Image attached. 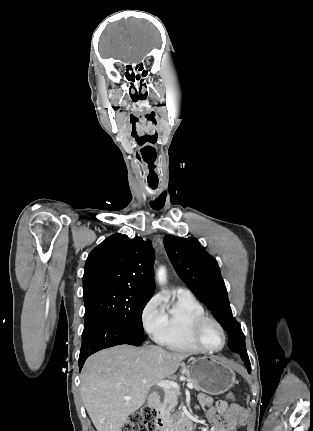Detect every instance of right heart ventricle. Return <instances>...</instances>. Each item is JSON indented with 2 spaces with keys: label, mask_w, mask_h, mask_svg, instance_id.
Listing matches in <instances>:
<instances>
[{
  "label": "right heart ventricle",
  "mask_w": 313,
  "mask_h": 431,
  "mask_svg": "<svg viewBox=\"0 0 313 431\" xmlns=\"http://www.w3.org/2000/svg\"><path fill=\"white\" fill-rule=\"evenodd\" d=\"M205 314L203 305L191 293H177L165 308V327L157 341L173 351H200L191 340V330Z\"/></svg>",
  "instance_id": "1"
}]
</instances>
